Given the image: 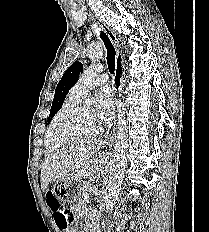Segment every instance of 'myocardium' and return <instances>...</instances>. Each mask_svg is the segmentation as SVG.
<instances>
[{
	"mask_svg": "<svg viewBox=\"0 0 209 232\" xmlns=\"http://www.w3.org/2000/svg\"><path fill=\"white\" fill-rule=\"evenodd\" d=\"M84 108L85 107L82 105H77L73 109L69 110L66 114H64L60 121L52 128L53 137L56 141L70 144L94 138L100 134V126H98L95 131L85 134L73 133L69 129L71 123L79 118Z\"/></svg>",
	"mask_w": 209,
	"mask_h": 232,
	"instance_id": "myocardium-1",
	"label": "myocardium"
}]
</instances>
